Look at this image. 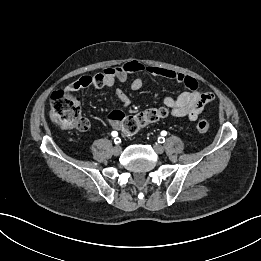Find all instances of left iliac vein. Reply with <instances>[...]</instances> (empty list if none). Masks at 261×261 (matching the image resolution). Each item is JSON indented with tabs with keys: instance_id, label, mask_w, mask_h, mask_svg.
<instances>
[{
	"instance_id": "4c4485c4",
	"label": "left iliac vein",
	"mask_w": 261,
	"mask_h": 261,
	"mask_svg": "<svg viewBox=\"0 0 261 261\" xmlns=\"http://www.w3.org/2000/svg\"><path fill=\"white\" fill-rule=\"evenodd\" d=\"M153 149L157 154H162L164 152V147L158 143L153 145Z\"/></svg>"
}]
</instances>
